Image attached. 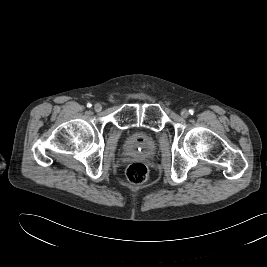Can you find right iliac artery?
Segmentation results:
<instances>
[{
    "mask_svg": "<svg viewBox=\"0 0 267 267\" xmlns=\"http://www.w3.org/2000/svg\"><path fill=\"white\" fill-rule=\"evenodd\" d=\"M92 106L91 103H87V107L90 108Z\"/></svg>",
    "mask_w": 267,
    "mask_h": 267,
    "instance_id": "right-iliac-artery-1",
    "label": "right iliac artery"
}]
</instances>
